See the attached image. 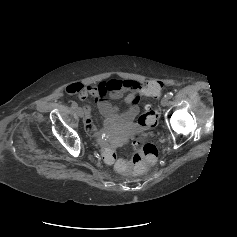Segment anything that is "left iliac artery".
Wrapping results in <instances>:
<instances>
[{"label":"left iliac artery","instance_id":"obj_1","mask_svg":"<svg viewBox=\"0 0 237 237\" xmlns=\"http://www.w3.org/2000/svg\"><path fill=\"white\" fill-rule=\"evenodd\" d=\"M166 96L170 99V98L173 97V93H172V92H169Z\"/></svg>","mask_w":237,"mask_h":237}]
</instances>
